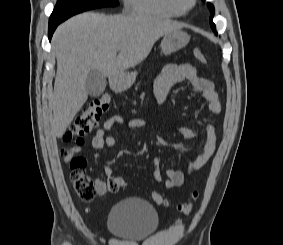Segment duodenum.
I'll return each mask as SVG.
<instances>
[{
    "mask_svg": "<svg viewBox=\"0 0 283 245\" xmlns=\"http://www.w3.org/2000/svg\"><path fill=\"white\" fill-rule=\"evenodd\" d=\"M114 85L116 88H121L122 84L119 81H115Z\"/></svg>",
    "mask_w": 283,
    "mask_h": 245,
    "instance_id": "410a0bca",
    "label": "duodenum"
}]
</instances>
